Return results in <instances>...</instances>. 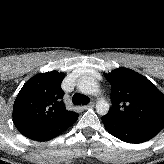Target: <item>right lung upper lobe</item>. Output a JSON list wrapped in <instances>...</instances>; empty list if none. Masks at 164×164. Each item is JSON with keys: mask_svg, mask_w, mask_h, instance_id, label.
<instances>
[{"mask_svg": "<svg viewBox=\"0 0 164 164\" xmlns=\"http://www.w3.org/2000/svg\"><path fill=\"white\" fill-rule=\"evenodd\" d=\"M65 74L40 73L20 90L13 106V122L24 136L51 126L73 114L65 108L61 83Z\"/></svg>", "mask_w": 164, "mask_h": 164, "instance_id": "cb5924a9", "label": "right lung upper lobe"}]
</instances>
